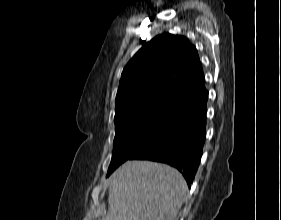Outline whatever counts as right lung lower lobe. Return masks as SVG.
Here are the masks:
<instances>
[{
  "instance_id": "right-lung-lower-lobe-1",
  "label": "right lung lower lobe",
  "mask_w": 281,
  "mask_h": 220,
  "mask_svg": "<svg viewBox=\"0 0 281 220\" xmlns=\"http://www.w3.org/2000/svg\"><path fill=\"white\" fill-rule=\"evenodd\" d=\"M207 99L206 91L179 107L129 159L167 163L183 174L190 187L205 142Z\"/></svg>"
}]
</instances>
